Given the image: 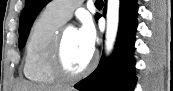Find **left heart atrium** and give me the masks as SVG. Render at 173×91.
Listing matches in <instances>:
<instances>
[{
  "label": "left heart atrium",
  "instance_id": "1",
  "mask_svg": "<svg viewBox=\"0 0 173 91\" xmlns=\"http://www.w3.org/2000/svg\"><path fill=\"white\" fill-rule=\"evenodd\" d=\"M80 44L88 51L93 52L96 43V30L89 18H84L80 28L77 30Z\"/></svg>",
  "mask_w": 173,
  "mask_h": 91
}]
</instances>
